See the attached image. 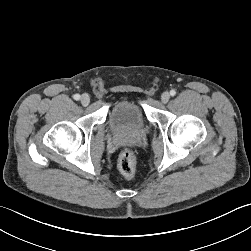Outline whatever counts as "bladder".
Returning a JSON list of instances; mask_svg holds the SVG:
<instances>
[{"mask_svg":"<svg viewBox=\"0 0 251 251\" xmlns=\"http://www.w3.org/2000/svg\"><path fill=\"white\" fill-rule=\"evenodd\" d=\"M108 124L114 132L139 133L146 126V117L138 102L121 100L111 106Z\"/></svg>","mask_w":251,"mask_h":251,"instance_id":"1","label":"bladder"}]
</instances>
